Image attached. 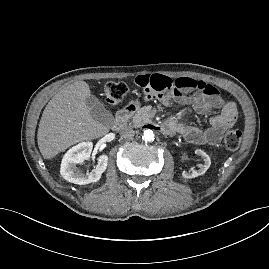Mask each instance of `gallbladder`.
I'll list each match as a JSON object with an SVG mask.
<instances>
[{
    "mask_svg": "<svg viewBox=\"0 0 269 269\" xmlns=\"http://www.w3.org/2000/svg\"><path fill=\"white\" fill-rule=\"evenodd\" d=\"M86 104L90 109V113L94 120L101 124L110 126L114 122V118L109 110H107L104 104L94 95H91L86 99Z\"/></svg>",
    "mask_w": 269,
    "mask_h": 269,
    "instance_id": "obj_1",
    "label": "gallbladder"
}]
</instances>
